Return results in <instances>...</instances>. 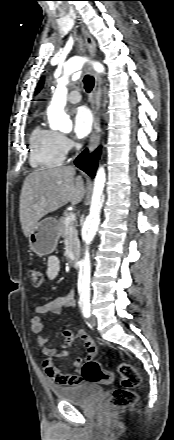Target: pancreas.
I'll use <instances>...</instances> for the list:
<instances>
[{"mask_svg": "<svg viewBox=\"0 0 174 440\" xmlns=\"http://www.w3.org/2000/svg\"><path fill=\"white\" fill-rule=\"evenodd\" d=\"M68 215H69V214H68ZM68 215L62 216V217H60V219H59V222H58L59 235H60L61 237H65V236H66V231H67V229H70V230H71V235H72V238H73V242H74V244H76V243H77V231H76V225L73 223L72 225H70V226L67 227V226L64 224L65 219L68 217Z\"/></svg>", "mask_w": 174, "mask_h": 440, "instance_id": "obj_1", "label": "pancreas"}]
</instances>
